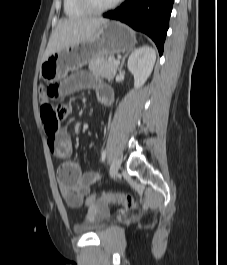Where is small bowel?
I'll use <instances>...</instances> for the list:
<instances>
[{
    "label": "small bowel",
    "mask_w": 227,
    "mask_h": 265,
    "mask_svg": "<svg viewBox=\"0 0 227 265\" xmlns=\"http://www.w3.org/2000/svg\"><path fill=\"white\" fill-rule=\"evenodd\" d=\"M93 76V72H74L64 81H55L54 85L59 86V92L63 95L94 89L101 103L110 104L111 91L94 81L91 78ZM58 112H66L64 115L66 117L72 112V107L67 103H58ZM48 147L56 158L63 160L57 170V180L63 200L72 209L82 207L86 204L91 186L100 180L101 174L96 171H84L79 163L70 159L73 143L66 132L57 131L53 135H48ZM91 213L94 214V212Z\"/></svg>",
    "instance_id": "1"
}]
</instances>
